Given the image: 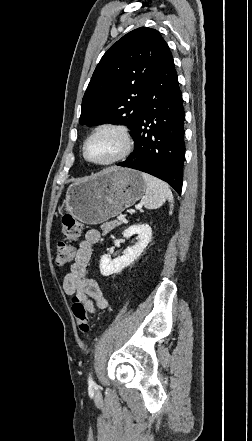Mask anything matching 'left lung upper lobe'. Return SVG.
Returning <instances> with one entry per match:
<instances>
[{
    "label": "left lung upper lobe",
    "instance_id": "obj_1",
    "mask_svg": "<svg viewBox=\"0 0 252 441\" xmlns=\"http://www.w3.org/2000/svg\"><path fill=\"white\" fill-rule=\"evenodd\" d=\"M164 43L157 30L140 27L107 50L84 94L80 124L121 123L133 137Z\"/></svg>",
    "mask_w": 252,
    "mask_h": 441
}]
</instances>
